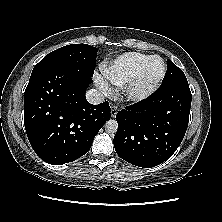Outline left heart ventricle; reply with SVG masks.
Masks as SVG:
<instances>
[{
    "mask_svg": "<svg viewBox=\"0 0 222 222\" xmlns=\"http://www.w3.org/2000/svg\"><path fill=\"white\" fill-rule=\"evenodd\" d=\"M162 68H163V65H162L161 60L159 59L153 60L146 71V74L144 77V84L151 83L152 81L157 79L162 72Z\"/></svg>",
    "mask_w": 222,
    "mask_h": 222,
    "instance_id": "obj_1",
    "label": "left heart ventricle"
}]
</instances>
